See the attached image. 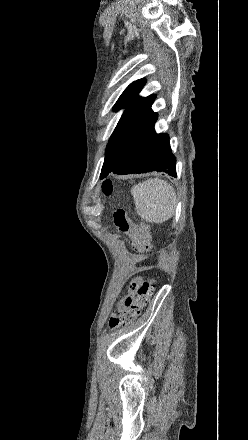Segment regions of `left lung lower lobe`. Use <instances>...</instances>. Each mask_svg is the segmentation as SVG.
Here are the masks:
<instances>
[{
    "label": "left lung lower lobe",
    "mask_w": 248,
    "mask_h": 440,
    "mask_svg": "<svg viewBox=\"0 0 248 440\" xmlns=\"http://www.w3.org/2000/svg\"><path fill=\"white\" fill-rule=\"evenodd\" d=\"M150 171H162L176 177V159L171 152L167 134L154 132L135 145L125 154L112 173L124 175Z\"/></svg>",
    "instance_id": "left-lung-lower-lobe-1"
}]
</instances>
